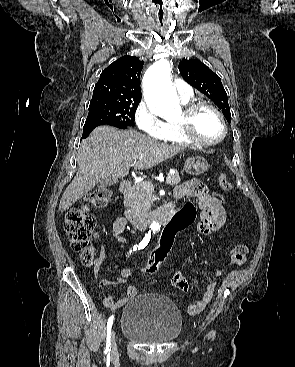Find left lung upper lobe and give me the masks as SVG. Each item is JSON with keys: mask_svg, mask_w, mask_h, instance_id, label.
<instances>
[{"mask_svg": "<svg viewBox=\"0 0 295 367\" xmlns=\"http://www.w3.org/2000/svg\"><path fill=\"white\" fill-rule=\"evenodd\" d=\"M179 71L184 80L212 100L222 111L227 121L231 122V113L226 91L221 79L197 59H183Z\"/></svg>", "mask_w": 295, "mask_h": 367, "instance_id": "1", "label": "left lung upper lobe"}]
</instances>
